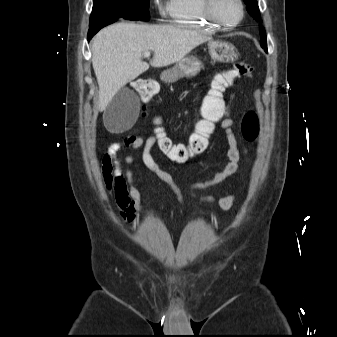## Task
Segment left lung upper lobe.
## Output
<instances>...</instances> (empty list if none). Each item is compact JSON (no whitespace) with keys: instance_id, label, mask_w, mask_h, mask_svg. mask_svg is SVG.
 Here are the masks:
<instances>
[{"instance_id":"obj_1","label":"left lung upper lobe","mask_w":337,"mask_h":337,"mask_svg":"<svg viewBox=\"0 0 337 337\" xmlns=\"http://www.w3.org/2000/svg\"><path fill=\"white\" fill-rule=\"evenodd\" d=\"M246 4V9L249 12V14L256 20L260 21V14H259V8L257 4V0H244ZM260 34L262 36L261 38V46L265 49L267 52V41H266V35L265 30L262 26H260Z\"/></svg>"}]
</instances>
